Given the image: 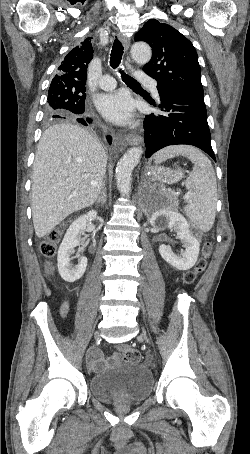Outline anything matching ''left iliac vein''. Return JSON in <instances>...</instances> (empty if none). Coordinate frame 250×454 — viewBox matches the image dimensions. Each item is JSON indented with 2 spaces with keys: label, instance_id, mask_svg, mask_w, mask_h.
Listing matches in <instances>:
<instances>
[{
  "label": "left iliac vein",
  "instance_id": "obj_1",
  "mask_svg": "<svg viewBox=\"0 0 250 454\" xmlns=\"http://www.w3.org/2000/svg\"><path fill=\"white\" fill-rule=\"evenodd\" d=\"M141 336L145 339L146 343L150 344V339L147 337L145 333H142Z\"/></svg>",
  "mask_w": 250,
  "mask_h": 454
}]
</instances>
